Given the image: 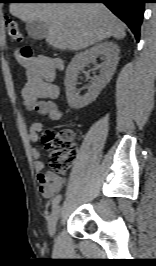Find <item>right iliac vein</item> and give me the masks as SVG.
I'll return each instance as SVG.
<instances>
[{
	"label": "right iliac vein",
	"mask_w": 156,
	"mask_h": 266,
	"mask_svg": "<svg viewBox=\"0 0 156 266\" xmlns=\"http://www.w3.org/2000/svg\"><path fill=\"white\" fill-rule=\"evenodd\" d=\"M62 208L60 206H57L54 208L52 211L49 220H48V231L50 236H54L55 231H56V225L58 222V219L60 217Z\"/></svg>",
	"instance_id": "right-iliac-vein-1"
}]
</instances>
